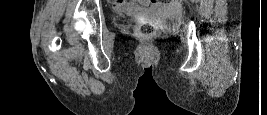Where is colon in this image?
Instances as JSON below:
<instances>
[{
	"label": "colon",
	"mask_w": 267,
	"mask_h": 115,
	"mask_svg": "<svg viewBox=\"0 0 267 115\" xmlns=\"http://www.w3.org/2000/svg\"><path fill=\"white\" fill-rule=\"evenodd\" d=\"M170 0H151V2L167 3ZM160 31L158 27L152 24H143L135 30V34L143 40H151L159 35Z\"/></svg>",
	"instance_id": "obj_1"
}]
</instances>
